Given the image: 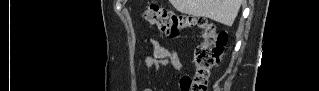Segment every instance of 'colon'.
<instances>
[{"instance_id": "5ec220e1", "label": "colon", "mask_w": 319, "mask_h": 91, "mask_svg": "<svg viewBox=\"0 0 319 91\" xmlns=\"http://www.w3.org/2000/svg\"><path fill=\"white\" fill-rule=\"evenodd\" d=\"M142 17L149 25L174 38L192 28L201 31L202 41L194 54V75L182 77L180 88L182 91H206L213 69L218 65L223 53L227 41L226 32L218 30L213 22L179 14L157 4L147 6Z\"/></svg>"}]
</instances>
